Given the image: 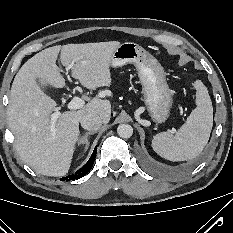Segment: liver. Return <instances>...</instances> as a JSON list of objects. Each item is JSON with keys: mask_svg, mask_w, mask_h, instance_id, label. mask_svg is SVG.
I'll return each instance as SVG.
<instances>
[{"mask_svg": "<svg viewBox=\"0 0 233 233\" xmlns=\"http://www.w3.org/2000/svg\"><path fill=\"white\" fill-rule=\"evenodd\" d=\"M120 45L117 41L67 44L46 48L30 58L16 74L7 109L8 125L14 146L22 161L36 173L46 176L67 174L75 144L79 139V122L89 113L110 121L109 100L92 98L77 111H65L52 123L56 102L46 95L36 80L63 88L65 80L56 65L60 53L63 66L73 62L71 75L84 87L96 90L111 85L110 61Z\"/></svg>", "mask_w": 233, "mask_h": 233, "instance_id": "1", "label": "liver"}]
</instances>
